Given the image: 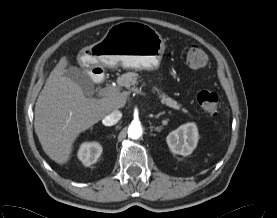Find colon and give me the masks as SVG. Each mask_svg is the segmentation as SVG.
<instances>
[{"instance_id":"obj_1","label":"colon","mask_w":277,"mask_h":218,"mask_svg":"<svg viewBox=\"0 0 277 218\" xmlns=\"http://www.w3.org/2000/svg\"><path fill=\"white\" fill-rule=\"evenodd\" d=\"M186 62L192 69H199L206 65L207 54L205 51L193 45L189 48L186 55ZM200 107L208 114L216 116L219 110V97L218 94L211 90H203L197 96Z\"/></svg>"}]
</instances>
